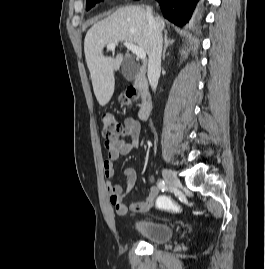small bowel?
<instances>
[{
  "label": "small bowel",
  "mask_w": 265,
  "mask_h": 269,
  "mask_svg": "<svg viewBox=\"0 0 265 269\" xmlns=\"http://www.w3.org/2000/svg\"><path fill=\"white\" fill-rule=\"evenodd\" d=\"M140 135V122L132 117H127L124 119L121 135L107 141L105 144L107 159L103 162V171L107 178L106 190L109 195V202L118 215H126L128 212L145 214L153 207L159 195V189L156 186H152L140 201L125 203L126 196L133 189L138 178L136 170L132 167H126L123 172L126 179V188L115 184L111 180L114 175V162L128 155L139 146Z\"/></svg>",
  "instance_id": "obj_1"
}]
</instances>
